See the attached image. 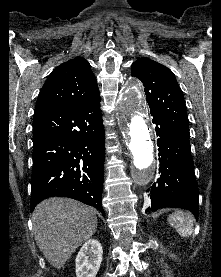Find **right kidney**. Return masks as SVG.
<instances>
[{"instance_id": "1", "label": "right kidney", "mask_w": 221, "mask_h": 277, "mask_svg": "<svg viewBox=\"0 0 221 277\" xmlns=\"http://www.w3.org/2000/svg\"><path fill=\"white\" fill-rule=\"evenodd\" d=\"M103 250L100 242L89 239L81 247L76 257V277H96L101 262Z\"/></svg>"}]
</instances>
